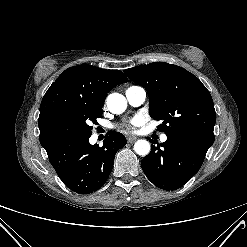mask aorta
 <instances>
[{"mask_svg":"<svg viewBox=\"0 0 247 247\" xmlns=\"http://www.w3.org/2000/svg\"><path fill=\"white\" fill-rule=\"evenodd\" d=\"M107 107L113 114H121L127 108L126 98L119 93H112L107 97ZM134 151L141 156H146L150 152V143L146 140H138L134 144Z\"/></svg>","mask_w":247,"mask_h":247,"instance_id":"obj_1","label":"aorta"}]
</instances>
